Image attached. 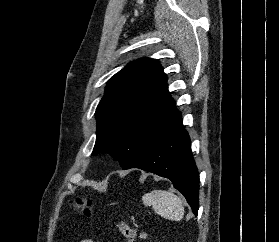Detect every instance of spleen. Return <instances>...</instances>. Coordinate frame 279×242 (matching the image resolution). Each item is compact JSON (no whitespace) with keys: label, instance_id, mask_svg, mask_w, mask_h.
Returning <instances> with one entry per match:
<instances>
[{"label":"spleen","instance_id":"spleen-1","mask_svg":"<svg viewBox=\"0 0 279 242\" xmlns=\"http://www.w3.org/2000/svg\"><path fill=\"white\" fill-rule=\"evenodd\" d=\"M146 206H152L157 214L169 219L180 221L184 216L181 199L172 192L153 190L142 197Z\"/></svg>","mask_w":279,"mask_h":242}]
</instances>
